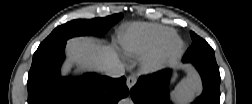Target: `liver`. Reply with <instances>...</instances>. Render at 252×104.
Instances as JSON below:
<instances>
[{"instance_id":"6515ba94","label":"liver","mask_w":252,"mask_h":104,"mask_svg":"<svg viewBox=\"0 0 252 104\" xmlns=\"http://www.w3.org/2000/svg\"><path fill=\"white\" fill-rule=\"evenodd\" d=\"M68 61L65 70L75 63L84 70L102 71L104 67L118 63L116 51L106 45L97 44L91 38H73L67 43Z\"/></svg>"}]
</instances>
